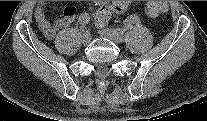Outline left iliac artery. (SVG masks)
Returning a JSON list of instances; mask_svg holds the SVG:
<instances>
[{"instance_id": "left-iliac-artery-1", "label": "left iliac artery", "mask_w": 207, "mask_h": 121, "mask_svg": "<svg viewBox=\"0 0 207 121\" xmlns=\"http://www.w3.org/2000/svg\"><path fill=\"white\" fill-rule=\"evenodd\" d=\"M141 20V17L138 14H133L126 16L124 18V23L126 25H132L133 23H138Z\"/></svg>"}]
</instances>
